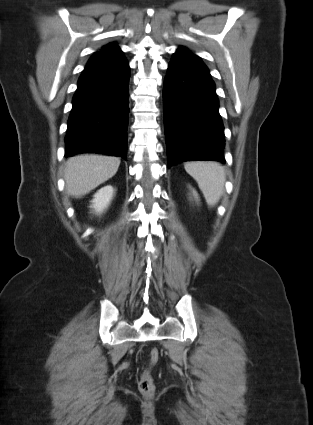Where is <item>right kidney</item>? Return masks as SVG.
<instances>
[{"label":"right kidney","instance_id":"1","mask_svg":"<svg viewBox=\"0 0 313 425\" xmlns=\"http://www.w3.org/2000/svg\"><path fill=\"white\" fill-rule=\"evenodd\" d=\"M115 189L108 185L98 190L93 200L91 201V208L96 214H101L106 208H108L111 200L113 199Z\"/></svg>","mask_w":313,"mask_h":425}]
</instances>
